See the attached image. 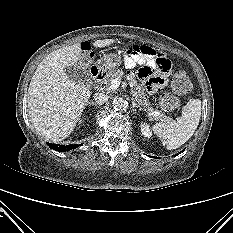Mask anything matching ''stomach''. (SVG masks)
<instances>
[{
  "label": "stomach",
  "instance_id": "1",
  "mask_svg": "<svg viewBox=\"0 0 233 233\" xmlns=\"http://www.w3.org/2000/svg\"><path fill=\"white\" fill-rule=\"evenodd\" d=\"M121 62L122 60L120 55L111 54L99 59L96 66L100 71L110 74L120 66Z\"/></svg>",
  "mask_w": 233,
  "mask_h": 233
}]
</instances>
